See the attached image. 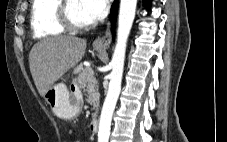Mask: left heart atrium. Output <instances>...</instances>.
<instances>
[{
    "mask_svg": "<svg viewBox=\"0 0 227 142\" xmlns=\"http://www.w3.org/2000/svg\"><path fill=\"white\" fill-rule=\"evenodd\" d=\"M83 14L90 22L103 19L108 11L109 0H79Z\"/></svg>",
    "mask_w": 227,
    "mask_h": 142,
    "instance_id": "left-heart-atrium-1",
    "label": "left heart atrium"
}]
</instances>
